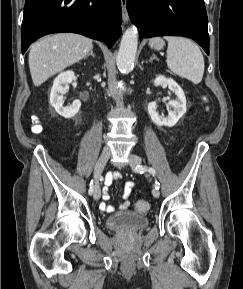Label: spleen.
I'll list each match as a JSON object with an SVG mask.
<instances>
[{"label": "spleen", "instance_id": "obj_1", "mask_svg": "<svg viewBox=\"0 0 243 289\" xmlns=\"http://www.w3.org/2000/svg\"><path fill=\"white\" fill-rule=\"evenodd\" d=\"M167 66L176 75L199 84L204 74V58L199 47L184 37L166 36Z\"/></svg>", "mask_w": 243, "mask_h": 289}]
</instances>
